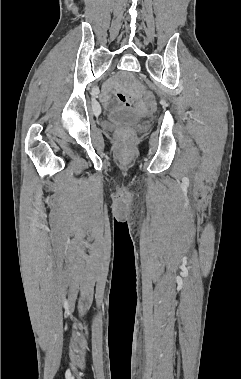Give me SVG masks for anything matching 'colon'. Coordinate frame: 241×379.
I'll list each match as a JSON object with an SVG mask.
<instances>
[{
  "label": "colon",
  "mask_w": 241,
  "mask_h": 379,
  "mask_svg": "<svg viewBox=\"0 0 241 379\" xmlns=\"http://www.w3.org/2000/svg\"><path fill=\"white\" fill-rule=\"evenodd\" d=\"M118 99L119 101L121 102V104H123L124 106H130L131 105V98L124 94V93H119L118 94ZM141 102L140 103H133L132 104V109L133 110H148L151 108V97H141ZM132 134V131L131 129L129 128H124V129H121L118 133L119 137L122 138V139H126L128 137H130Z\"/></svg>",
  "instance_id": "5ec220e1"
}]
</instances>
